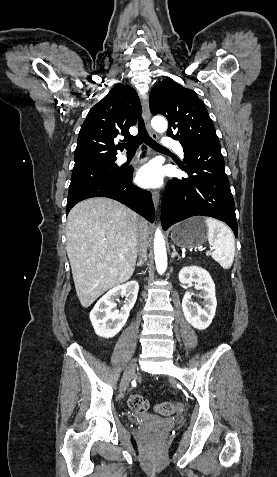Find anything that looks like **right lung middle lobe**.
<instances>
[{"label": "right lung middle lobe", "instance_id": "dd1d6c3e", "mask_svg": "<svg viewBox=\"0 0 277 477\" xmlns=\"http://www.w3.org/2000/svg\"><path fill=\"white\" fill-rule=\"evenodd\" d=\"M125 170L120 169L115 160L88 164L73 168L69 192L89 183L103 178L123 177Z\"/></svg>", "mask_w": 277, "mask_h": 477}]
</instances>
